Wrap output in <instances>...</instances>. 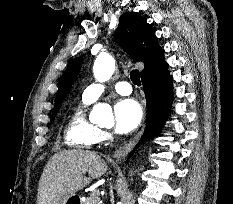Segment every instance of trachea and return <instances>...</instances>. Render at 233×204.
<instances>
[{"mask_svg": "<svg viewBox=\"0 0 233 204\" xmlns=\"http://www.w3.org/2000/svg\"><path fill=\"white\" fill-rule=\"evenodd\" d=\"M130 78H131V81L133 82V84H135L137 86L141 85L139 70H137V69L132 70L130 73Z\"/></svg>", "mask_w": 233, "mask_h": 204, "instance_id": "3493384b", "label": "trachea"}]
</instances>
